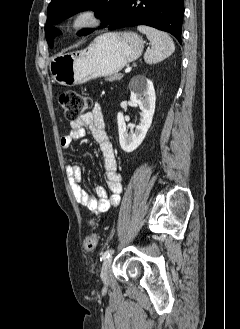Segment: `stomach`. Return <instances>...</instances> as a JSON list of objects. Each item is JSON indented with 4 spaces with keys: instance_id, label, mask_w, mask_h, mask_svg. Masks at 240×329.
I'll return each instance as SVG.
<instances>
[{
    "instance_id": "stomach-1",
    "label": "stomach",
    "mask_w": 240,
    "mask_h": 329,
    "mask_svg": "<svg viewBox=\"0 0 240 329\" xmlns=\"http://www.w3.org/2000/svg\"><path fill=\"white\" fill-rule=\"evenodd\" d=\"M143 48L142 38L134 32L105 33L86 49L55 55L49 69L57 83L72 87L118 73L138 59Z\"/></svg>"
}]
</instances>
